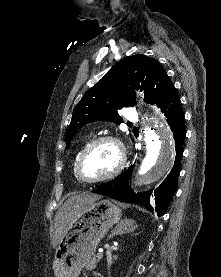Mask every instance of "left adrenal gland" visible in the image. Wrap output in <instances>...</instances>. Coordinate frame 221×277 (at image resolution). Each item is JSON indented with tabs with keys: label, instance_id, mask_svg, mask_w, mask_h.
Masks as SVG:
<instances>
[{
	"label": "left adrenal gland",
	"instance_id": "a2214340",
	"mask_svg": "<svg viewBox=\"0 0 221 277\" xmlns=\"http://www.w3.org/2000/svg\"><path fill=\"white\" fill-rule=\"evenodd\" d=\"M137 226L134 224L133 220H121V222L111 231L109 239L113 238L115 235L125 234L132 232Z\"/></svg>",
	"mask_w": 221,
	"mask_h": 277
}]
</instances>
